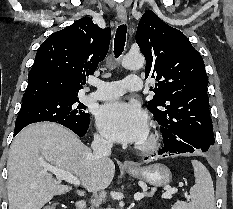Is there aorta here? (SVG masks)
<instances>
[{
	"mask_svg": "<svg viewBox=\"0 0 233 209\" xmlns=\"http://www.w3.org/2000/svg\"><path fill=\"white\" fill-rule=\"evenodd\" d=\"M145 59L141 54H127L122 59V65L126 69H140L144 66Z\"/></svg>",
	"mask_w": 233,
	"mask_h": 209,
	"instance_id": "aorta-1",
	"label": "aorta"
}]
</instances>
